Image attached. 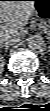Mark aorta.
Wrapping results in <instances>:
<instances>
[{
	"label": "aorta",
	"mask_w": 50,
	"mask_h": 111,
	"mask_svg": "<svg viewBox=\"0 0 50 111\" xmlns=\"http://www.w3.org/2000/svg\"><path fill=\"white\" fill-rule=\"evenodd\" d=\"M28 47L33 51L42 52L45 48V43L40 36H31L28 39Z\"/></svg>",
	"instance_id": "obj_1"
}]
</instances>
